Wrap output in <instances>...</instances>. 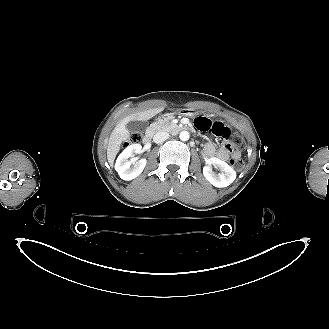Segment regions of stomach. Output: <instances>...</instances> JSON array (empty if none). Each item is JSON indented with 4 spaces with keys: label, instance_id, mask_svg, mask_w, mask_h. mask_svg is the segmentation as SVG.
<instances>
[{
    "label": "stomach",
    "instance_id": "1",
    "mask_svg": "<svg viewBox=\"0 0 329 329\" xmlns=\"http://www.w3.org/2000/svg\"><path fill=\"white\" fill-rule=\"evenodd\" d=\"M174 114H175V112L174 111H171V112H168L166 115L172 116ZM184 114L185 115H188V116H193L195 114V111L192 110V109H184Z\"/></svg>",
    "mask_w": 329,
    "mask_h": 329
}]
</instances>
